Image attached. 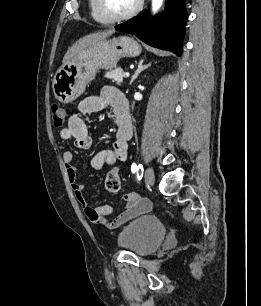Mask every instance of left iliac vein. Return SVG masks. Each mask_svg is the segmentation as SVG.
I'll list each match as a JSON object with an SVG mask.
<instances>
[{
  "label": "left iliac vein",
  "instance_id": "1",
  "mask_svg": "<svg viewBox=\"0 0 261 306\" xmlns=\"http://www.w3.org/2000/svg\"><path fill=\"white\" fill-rule=\"evenodd\" d=\"M144 179L148 185L152 186L154 184V180H155L154 171L151 167H148L146 169L145 174H144Z\"/></svg>",
  "mask_w": 261,
  "mask_h": 306
}]
</instances>
